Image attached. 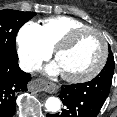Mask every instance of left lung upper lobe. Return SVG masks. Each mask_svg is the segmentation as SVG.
<instances>
[{
    "label": "left lung upper lobe",
    "instance_id": "1",
    "mask_svg": "<svg viewBox=\"0 0 117 117\" xmlns=\"http://www.w3.org/2000/svg\"><path fill=\"white\" fill-rule=\"evenodd\" d=\"M113 73H114V57L112 55L111 48L109 46V56L107 63L97 77H102L104 81L111 84Z\"/></svg>",
    "mask_w": 117,
    "mask_h": 117
}]
</instances>
